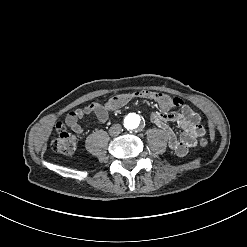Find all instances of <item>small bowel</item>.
I'll return each instance as SVG.
<instances>
[{
  "mask_svg": "<svg viewBox=\"0 0 247 247\" xmlns=\"http://www.w3.org/2000/svg\"><path fill=\"white\" fill-rule=\"evenodd\" d=\"M178 106H180L179 112H169V110L159 107L160 111L153 112L150 115V120L164 131L170 149L178 157H185L190 149L197 145L198 139L204 135V129L200 125V116L196 111L186 104ZM108 109L110 108L107 104L98 102L88 104L71 111L66 117V125L76 134H82L84 128L80 124L81 119L94 114L99 123H105L109 117ZM170 124L177 125L182 131L179 136L170 127Z\"/></svg>",
  "mask_w": 247,
  "mask_h": 247,
  "instance_id": "small-bowel-1",
  "label": "small bowel"
}]
</instances>
